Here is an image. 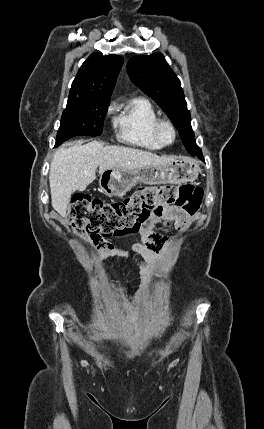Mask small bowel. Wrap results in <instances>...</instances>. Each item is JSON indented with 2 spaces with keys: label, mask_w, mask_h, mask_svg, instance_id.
Segmentation results:
<instances>
[{
  "label": "small bowel",
  "mask_w": 264,
  "mask_h": 429,
  "mask_svg": "<svg viewBox=\"0 0 264 429\" xmlns=\"http://www.w3.org/2000/svg\"><path fill=\"white\" fill-rule=\"evenodd\" d=\"M190 216L182 210L174 206H166L160 212L153 214L146 221L140 230L143 237V243H135L130 250L117 248L115 245L105 240L104 238L94 239L84 232H78V236L89 246H93L97 255L101 258H117L125 259L131 254L139 255L148 264L152 265L155 260L156 253L163 251L168 245V239L154 232V228L158 224L173 226L178 229H183L190 223ZM152 269L148 274V278L152 275Z\"/></svg>",
  "instance_id": "obj_1"
}]
</instances>
